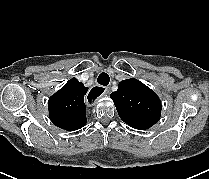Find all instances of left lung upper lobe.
<instances>
[{
	"instance_id": "left-lung-upper-lobe-1",
	"label": "left lung upper lobe",
	"mask_w": 209,
	"mask_h": 179,
	"mask_svg": "<svg viewBox=\"0 0 209 179\" xmlns=\"http://www.w3.org/2000/svg\"><path fill=\"white\" fill-rule=\"evenodd\" d=\"M110 97L120 118L135 129H148L160 119L159 97L137 79L121 81Z\"/></svg>"
}]
</instances>
